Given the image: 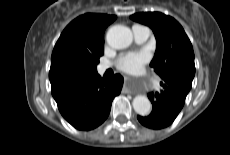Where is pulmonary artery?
<instances>
[{
	"label": "pulmonary artery",
	"instance_id": "pulmonary-artery-1",
	"mask_svg": "<svg viewBox=\"0 0 230 155\" xmlns=\"http://www.w3.org/2000/svg\"><path fill=\"white\" fill-rule=\"evenodd\" d=\"M134 39L137 43H143L145 42L149 35H150V30L149 28L141 25H135L132 28ZM108 69V65L102 64L98 67L99 73H104Z\"/></svg>",
	"mask_w": 230,
	"mask_h": 155
}]
</instances>
